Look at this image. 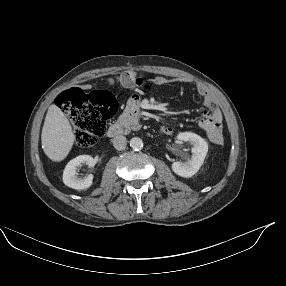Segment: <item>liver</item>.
Listing matches in <instances>:
<instances>
[{
  "mask_svg": "<svg viewBox=\"0 0 286 286\" xmlns=\"http://www.w3.org/2000/svg\"><path fill=\"white\" fill-rule=\"evenodd\" d=\"M41 141L44 153L55 162L64 160L75 142V134L68 119L55 104L48 108Z\"/></svg>",
  "mask_w": 286,
  "mask_h": 286,
  "instance_id": "1",
  "label": "liver"
}]
</instances>
